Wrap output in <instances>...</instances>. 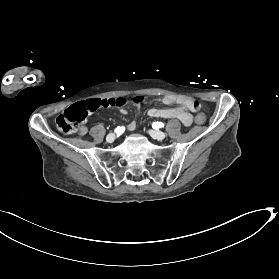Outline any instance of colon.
Wrapping results in <instances>:
<instances>
[{
    "mask_svg": "<svg viewBox=\"0 0 279 279\" xmlns=\"http://www.w3.org/2000/svg\"><path fill=\"white\" fill-rule=\"evenodd\" d=\"M135 102L141 103L144 101L143 96H137L134 98ZM186 108L193 112H197L200 109V103L198 100L188 97H178ZM127 100L123 97L107 98V99H91L85 102H79L68 107L62 114L56 118V125L58 129L63 133H75L81 132L84 128V124L91 113L98 110L101 107H115L124 106ZM197 124H204L206 116L202 112H198L195 116Z\"/></svg>",
    "mask_w": 279,
    "mask_h": 279,
    "instance_id": "colon-1",
    "label": "colon"
}]
</instances>
